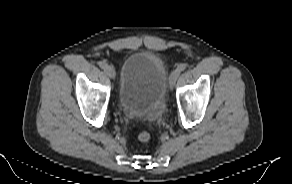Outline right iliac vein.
<instances>
[{
    "instance_id": "right-iliac-vein-1",
    "label": "right iliac vein",
    "mask_w": 292,
    "mask_h": 184,
    "mask_svg": "<svg viewBox=\"0 0 292 184\" xmlns=\"http://www.w3.org/2000/svg\"><path fill=\"white\" fill-rule=\"evenodd\" d=\"M105 73H106L110 78H112V79H114L115 76H116L115 69H114L113 67H111V66H107V67L105 68Z\"/></svg>"
}]
</instances>
